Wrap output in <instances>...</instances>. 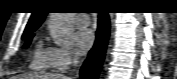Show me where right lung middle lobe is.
Segmentation results:
<instances>
[{
  "mask_svg": "<svg viewBox=\"0 0 177 79\" xmlns=\"http://www.w3.org/2000/svg\"><path fill=\"white\" fill-rule=\"evenodd\" d=\"M36 29H30V30H26L24 31V34L22 36V39L27 38L24 44L23 48H27L32 40V37L34 35H32V33L35 31Z\"/></svg>",
  "mask_w": 177,
  "mask_h": 79,
  "instance_id": "obj_1",
  "label": "right lung middle lobe"
}]
</instances>
